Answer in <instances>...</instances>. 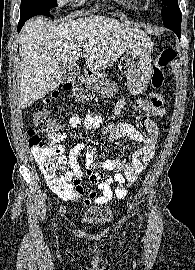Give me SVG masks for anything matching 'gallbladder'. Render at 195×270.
<instances>
[{"instance_id":"bac80fb5","label":"gallbladder","mask_w":195,"mask_h":270,"mask_svg":"<svg viewBox=\"0 0 195 270\" xmlns=\"http://www.w3.org/2000/svg\"><path fill=\"white\" fill-rule=\"evenodd\" d=\"M62 71L61 83H66L75 80L80 75L79 66L75 63H61Z\"/></svg>"}]
</instances>
